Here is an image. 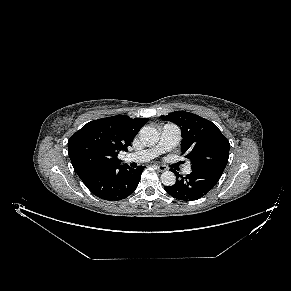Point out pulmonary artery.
I'll list each match as a JSON object with an SVG mask.
<instances>
[{
	"label": "pulmonary artery",
	"mask_w": 291,
	"mask_h": 291,
	"mask_svg": "<svg viewBox=\"0 0 291 291\" xmlns=\"http://www.w3.org/2000/svg\"><path fill=\"white\" fill-rule=\"evenodd\" d=\"M180 137H181V130L177 125L171 124V123L165 124L162 127L159 142L155 146L139 151V152L130 153L125 156V161L126 162L149 161L157 157L161 153H164L174 148L178 144ZM184 173L190 174L191 168L187 166L184 169Z\"/></svg>",
	"instance_id": "pulmonary-artery-1"
}]
</instances>
